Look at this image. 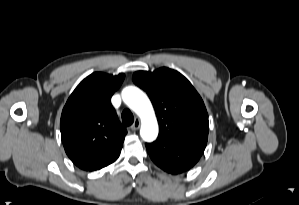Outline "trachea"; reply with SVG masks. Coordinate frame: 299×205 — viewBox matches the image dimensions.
<instances>
[{
  "mask_svg": "<svg viewBox=\"0 0 299 205\" xmlns=\"http://www.w3.org/2000/svg\"><path fill=\"white\" fill-rule=\"evenodd\" d=\"M121 117L125 126H130L134 122V116L129 109L124 110Z\"/></svg>",
  "mask_w": 299,
  "mask_h": 205,
  "instance_id": "1",
  "label": "trachea"
}]
</instances>
